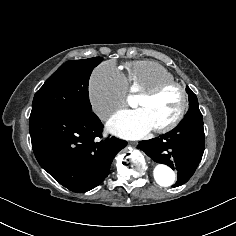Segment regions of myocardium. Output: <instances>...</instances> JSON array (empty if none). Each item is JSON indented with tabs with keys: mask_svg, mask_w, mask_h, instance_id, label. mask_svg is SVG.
Listing matches in <instances>:
<instances>
[{
	"mask_svg": "<svg viewBox=\"0 0 236 236\" xmlns=\"http://www.w3.org/2000/svg\"><path fill=\"white\" fill-rule=\"evenodd\" d=\"M169 89H175L178 91L181 97V106L177 115L170 122H168L162 127L152 129V131L155 134H166L172 131L179 124H181L182 121L185 119V116L189 108V94L187 92V89L182 84L176 81H166V82L157 84L156 86L140 93L139 95V97L145 100H151Z\"/></svg>",
	"mask_w": 236,
	"mask_h": 236,
	"instance_id": "obj_1",
	"label": "myocardium"
}]
</instances>
